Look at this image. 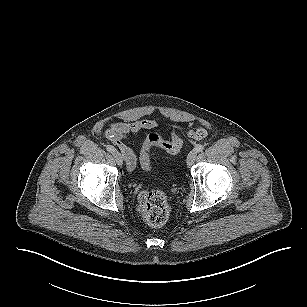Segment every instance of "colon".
Here are the masks:
<instances>
[{
	"mask_svg": "<svg viewBox=\"0 0 307 307\" xmlns=\"http://www.w3.org/2000/svg\"><path fill=\"white\" fill-rule=\"evenodd\" d=\"M189 136L195 139H204L207 131L198 128L188 131ZM183 145V139L179 132L173 131L169 139L162 138L157 133H150L141 148V163L144 169H150V150L159 147L168 153H178ZM139 211L142 217L151 225L160 226L167 222L171 207L166 195L159 190H143L139 194Z\"/></svg>",
	"mask_w": 307,
	"mask_h": 307,
	"instance_id": "1",
	"label": "colon"
}]
</instances>
